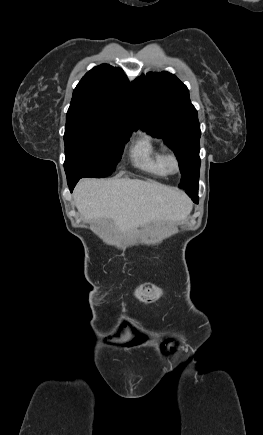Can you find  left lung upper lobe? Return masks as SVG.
<instances>
[{"instance_id":"1","label":"left lung upper lobe","mask_w":263,"mask_h":435,"mask_svg":"<svg viewBox=\"0 0 263 435\" xmlns=\"http://www.w3.org/2000/svg\"><path fill=\"white\" fill-rule=\"evenodd\" d=\"M137 108L136 130L140 127L175 152L182 174L179 188L199 186V139L197 111L187 87L168 72L148 73L132 82Z\"/></svg>"}]
</instances>
